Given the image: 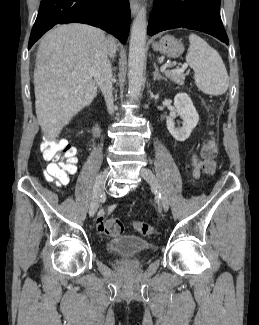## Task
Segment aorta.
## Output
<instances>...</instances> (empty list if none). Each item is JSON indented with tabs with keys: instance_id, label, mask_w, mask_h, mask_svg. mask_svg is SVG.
Returning <instances> with one entry per match:
<instances>
[{
	"instance_id": "aorta-1",
	"label": "aorta",
	"mask_w": 259,
	"mask_h": 325,
	"mask_svg": "<svg viewBox=\"0 0 259 325\" xmlns=\"http://www.w3.org/2000/svg\"><path fill=\"white\" fill-rule=\"evenodd\" d=\"M146 33V9L142 7L133 21L129 43L128 95L131 100L139 97L143 84Z\"/></svg>"
}]
</instances>
